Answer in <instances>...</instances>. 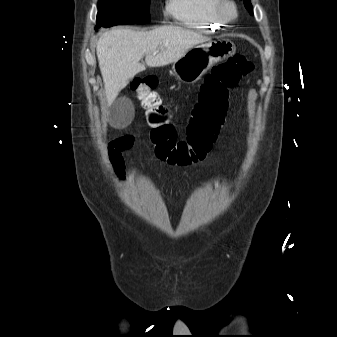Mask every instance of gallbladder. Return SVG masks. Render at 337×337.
Wrapping results in <instances>:
<instances>
[{"instance_id": "gallbladder-1", "label": "gallbladder", "mask_w": 337, "mask_h": 337, "mask_svg": "<svg viewBox=\"0 0 337 337\" xmlns=\"http://www.w3.org/2000/svg\"><path fill=\"white\" fill-rule=\"evenodd\" d=\"M133 115L132 102L126 97L115 100L110 106V124L115 128L126 127Z\"/></svg>"}]
</instances>
